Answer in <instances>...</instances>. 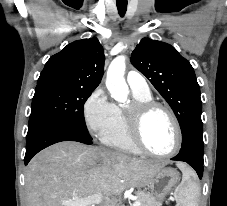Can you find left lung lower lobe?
Segmentation results:
<instances>
[{"mask_svg":"<svg viewBox=\"0 0 227 206\" xmlns=\"http://www.w3.org/2000/svg\"><path fill=\"white\" fill-rule=\"evenodd\" d=\"M171 160L183 161L188 163L197 172L199 178H202L203 145H201V143H199L196 138H189L185 143H182L179 154L171 158Z\"/></svg>","mask_w":227,"mask_h":206,"instance_id":"obj_1","label":"left lung lower lobe"}]
</instances>
